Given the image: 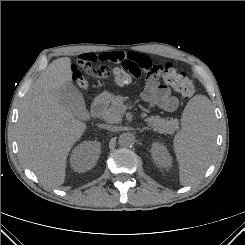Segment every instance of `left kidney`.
Wrapping results in <instances>:
<instances>
[{
	"instance_id": "obj_1",
	"label": "left kidney",
	"mask_w": 245,
	"mask_h": 245,
	"mask_svg": "<svg viewBox=\"0 0 245 245\" xmlns=\"http://www.w3.org/2000/svg\"><path fill=\"white\" fill-rule=\"evenodd\" d=\"M152 158L156 164L167 167L171 165V157L166 147L161 143H153L151 148Z\"/></svg>"
}]
</instances>
